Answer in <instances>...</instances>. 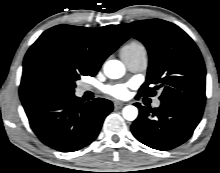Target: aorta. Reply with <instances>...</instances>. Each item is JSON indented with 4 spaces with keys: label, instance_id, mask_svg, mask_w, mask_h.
<instances>
[{
    "label": "aorta",
    "instance_id": "obj_1",
    "mask_svg": "<svg viewBox=\"0 0 220 173\" xmlns=\"http://www.w3.org/2000/svg\"><path fill=\"white\" fill-rule=\"evenodd\" d=\"M125 68L118 60H109L104 65V73L108 78L118 79L124 75ZM123 117L128 121H134L138 116V109L133 105H128L122 110Z\"/></svg>",
    "mask_w": 220,
    "mask_h": 173
}]
</instances>
